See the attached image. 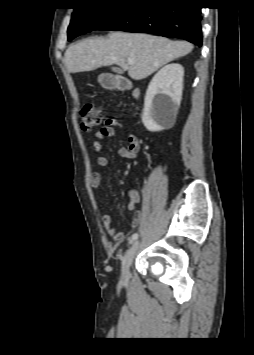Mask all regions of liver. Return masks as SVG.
I'll use <instances>...</instances> for the list:
<instances>
[{"instance_id":"obj_1","label":"liver","mask_w":254,"mask_h":355,"mask_svg":"<svg viewBox=\"0 0 254 355\" xmlns=\"http://www.w3.org/2000/svg\"><path fill=\"white\" fill-rule=\"evenodd\" d=\"M193 47L186 41L113 32L106 38L90 37L71 45L65 52L64 62L69 73L92 71L116 64L128 71L132 79L141 80L168 62L189 54ZM128 58L134 62L128 64Z\"/></svg>"}]
</instances>
